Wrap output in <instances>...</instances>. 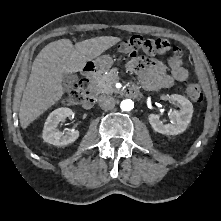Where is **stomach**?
Returning <instances> with one entry per match:
<instances>
[{
	"mask_svg": "<svg viewBox=\"0 0 221 221\" xmlns=\"http://www.w3.org/2000/svg\"><path fill=\"white\" fill-rule=\"evenodd\" d=\"M113 64V60L109 55H104L94 61V65L100 71L108 70Z\"/></svg>",
	"mask_w": 221,
	"mask_h": 221,
	"instance_id": "1",
	"label": "stomach"
}]
</instances>
